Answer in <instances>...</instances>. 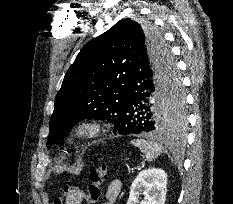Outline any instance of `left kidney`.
I'll use <instances>...</instances> for the list:
<instances>
[{
	"instance_id": "1",
	"label": "left kidney",
	"mask_w": 233,
	"mask_h": 204,
	"mask_svg": "<svg viewBox=\"0 0 233 204\" xmlns=\"http://www.w3.org/2000/svg\"><path fill=\"white\" fill-rule=\"evenodd\" d=\"M167 174L164 170L150 168L141 171L130 188L127 204H164L167 191ZM140 194L144 199L139 201Z\"/></svg>"
}]
</instances>
